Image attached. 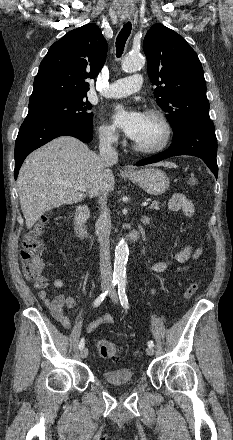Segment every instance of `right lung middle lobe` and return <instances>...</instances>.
I'll return each mask as SVG.
<instances>
[{
    "label": "right lung middle lobe",
    "mask_w": 233,
    "mask_h": 440,
    "mask_svg": "<svg viewBox=\"0 0 233 440\" xmlns=\"http://www.w3.org/2000/svg\"><path fill=\"white\" fill-rule=\"evenodd\" d=\"M89 101L81 98H54L29 104L27 116H47L74 122L84 129L93 131V113Z\"/></svg>",
    "instance_id": "obj_1"
}]
</instances>
